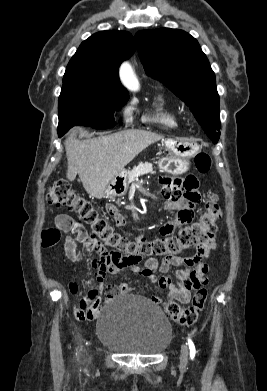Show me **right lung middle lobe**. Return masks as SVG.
<instances>
[{
    "label": "right lung middle lobe",
    "mask_w": 267,
    "mask_h": 391,
    "mask_svg": "<svg viewBox=\"0 0 267 391\" xmlns=\"http://www.w3.org/2000/svg\"><path fill=\"white\" fill-rule=\"evenodd\" d=\"M128 100L127 90L111 87L93 78L63 80L58 103V134L75 125L107 129L115 125L113 117Z\"/></svg>",
    "instance_id": "obj_1"
}]
</instances>
